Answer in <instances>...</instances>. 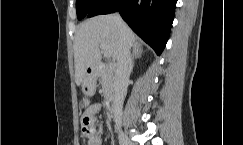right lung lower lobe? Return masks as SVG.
<instances>
[{"mask_svg":"<svg viewBox=\"0 0 243 145\" xmlns=\"http://www.w3.org/2000/svg\"><path fill=\"white\" fill-rule=\"evenodd\" d=\"M177 0H103L87 17L119 11L122 18L160 55L169 37Z\"/></svg>","mask_w":243,"mask_h":145,"instance_id":"1","label":"right lung lower lobe"}]
</instances>
